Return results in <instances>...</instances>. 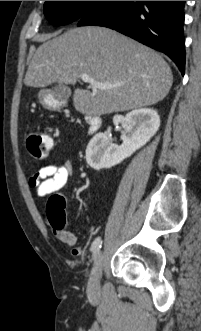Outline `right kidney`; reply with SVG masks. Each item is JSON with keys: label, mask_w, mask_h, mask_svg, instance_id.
I'll list each match as a JSON object with an SVG mask.
<instances>
[{"label": "right kidney", "mask_w": 201, "mask_h": 331, "mask_svg": "<svg viewBox=\"0 0 201 331\" xmlns=\"http://www.w3.org/2000/svg\"><path fill=\"white\" fill-rule=\"evenodd\" d=\"M160 117L155 110L142 108L129 112L123 122L124 131L118 146L103 133H97L86 148L87 164L95 169L111 168L130 157L155 135Z\"/></svg>", "instance_id": "ca27d5eb"}]
</instances>
